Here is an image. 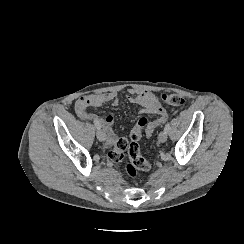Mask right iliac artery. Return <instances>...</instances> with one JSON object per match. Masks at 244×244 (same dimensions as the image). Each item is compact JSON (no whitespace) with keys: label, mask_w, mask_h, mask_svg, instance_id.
<instances>
[{"label":"right iliac artery","mask_w":244,"mask_h":244,"mask_svg":"<svg viewBox=\"0 0 244 244\" xmlns=\"http://www.w3.org/2000/svg\"><path fill=\"white\" fill-rule=\"evenodd\" d=\"M94 124L98 130L101 128V125L97 120H94Z\"/></svg>","instance_id":"right-iliac-artery-1"}]
</instances>
